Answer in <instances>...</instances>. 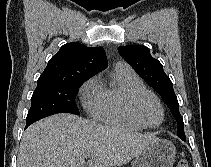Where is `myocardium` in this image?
I'll list each match as a JSON object with an SVG mask.
<instances>
[{"label":"myocardium","instance_id":"obj_1","mask_svg":"<svg viewBox=\"0 0 211 167\" xmlns=\"http://www.w3.org/2000/svg\"><path fill=\"white\" fill-rule=\"evenodd\" d=\"M143 94H147V95H150L151 97L154 98V100L157 102L160 110H161V120L158 124L156 125H148L146 124L141 118L140 116L138 115L137 113V110H136V102H137V99L143 95ZM126 109H127V112L129 113V115L132 117V119L134 121H136L139 125H141L142 127L144 128H148V129H155V128H158L159 126L162 125L164 119H165V110H164V106L160 100V98L157 96V94L155 92H153L152 90L150 89H147L145 87H142V88H138V89H135L133 91H131L127 98H126Z\"/></svg>","mask_w":211,"mask_h":167}]
</instances>
